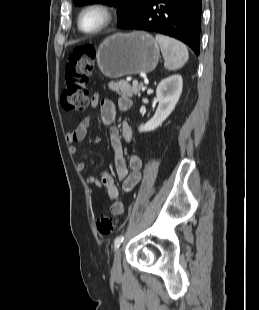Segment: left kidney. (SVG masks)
Returning a JSON list of instances; mask_svg holds the SVG:
<instances>
[{
	"mask_svg": "<svg viewBox=\"0 0 259 310\" xmlns=\"http://www.w3.org/2000/svg\"><path fill=\"white\" fill-rule=\"evenodd\" d=\"M183 87L181 75L175 74L163 79L156 90V97L159 102L154 116L139 127V132L153 131L159 127L174 110Z\"/></svg>",
	"mask_w": 259,
	"mask_h": 310,
	"instance_id": "5707ae66",
	"label": "left kidney"
}]
</instances>
